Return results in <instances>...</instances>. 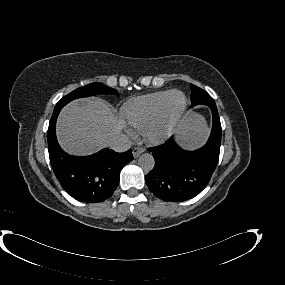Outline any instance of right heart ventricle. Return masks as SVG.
Returning a JSON list of instances; mask_svg holds the SVG:
<instances>
[{"mask_svg":"<svg viewBox=\"0 0 285 285\" xmlns=\"http://www.w3.org/2000/svg\"><path fill=\"white\" fill-rule=\"evenodd\" d=\"M170 92L160 91L128 99L121 107V114L134 129L144 132L160 115Z\"/></svg>","mask_w":285,"mask_h":285,"instance_id":"e07e8e85","label":"right heart ventricle"}]
</instances>
